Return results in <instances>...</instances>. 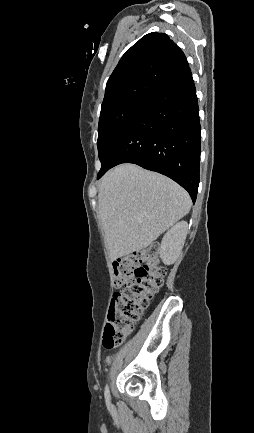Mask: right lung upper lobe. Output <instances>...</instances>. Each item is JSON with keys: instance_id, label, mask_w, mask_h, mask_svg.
Segmentation results:
<instances>
[{"instance_id": "1", "label": "right lung upper lobe", "mask_w": 254, "mask_h": 433, "mask_svg": "<svg viewBox=\"0 0 254 433\" xmlns=\"http://www.w3.org/2000/svg\"><path fill=\"white\" fill-rule=\"evenodd\" d=\"M187 67L184 53L166 34L149 33L120 59L107 81L101 108L126 99H149Z\"/></svg>"}]
</instances>
